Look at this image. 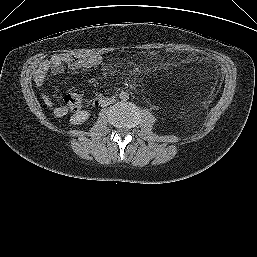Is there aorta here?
Returning <instances> with one entry per match:
<instances>
[{"mask_svg": "<svg viewBox=\"0 0 257 257\" xmlns=\"http://www.w3.org/2000/svg\"><path fill=\"white\" fill-rule=\"evenodd\" d=\"M119 98L123 101H126L129 99V94L127 92H124L122 91L120 94H119Z\"/></svg>", "mask_w": 257, "mask_h": 257, "instance_id": "762f6f07", "label": "aorta"}]
</instances>
